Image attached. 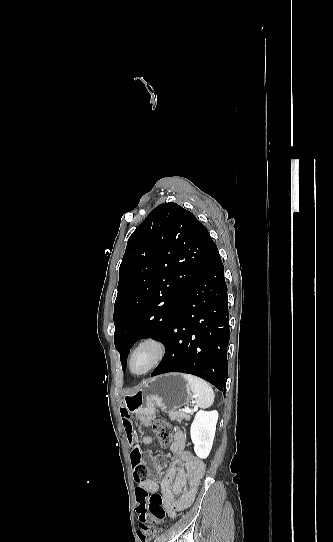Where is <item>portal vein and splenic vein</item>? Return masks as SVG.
Returning a JSON list of instances; mask_svg holds the SVG:
<instances>
[{
  "label": "portal vein and splenic vein",
  "mask_w": 333,
  "mask_h": 542,
  "mask_svg": "<svg viewBox=\"0 0 333 542\" xmlns=\"http://www.w3.org/2000/svg\"><path fill=\"white\" fill-rule=\"evenodd\" d=\"M183 412H186V414H190V412H194V410H189V408H184Z\"/></svg>",
  "instance_id": "obj_1"
}]
</instances>
